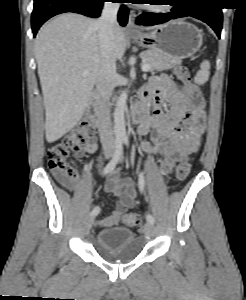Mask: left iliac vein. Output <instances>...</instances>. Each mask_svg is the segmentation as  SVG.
<instances>
[{
    "instance_id": "1",
    "label": "left iliac vein",
    "mask_w": 246,
    "mask_h": 300,
    "mask_svg": "<svg viewBox=\"0 0 246 300\" xmlns=\"http://www.w3.org/2000/svg\"><path fill=\"white\" fill-rule=\"evenodd\" d=\"M143 232L147 237H151L154 234V225L151 222H146L143 227Z\"/></svg>"
}]
</instances>
